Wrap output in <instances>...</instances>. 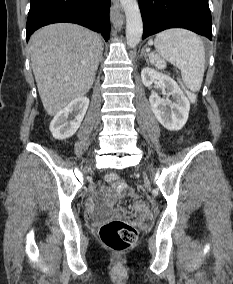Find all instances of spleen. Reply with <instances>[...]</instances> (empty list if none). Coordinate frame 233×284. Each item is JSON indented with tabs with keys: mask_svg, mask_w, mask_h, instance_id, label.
<instances>
[{
	"mask_svg": "<svg viewBox=\"0 0 233 284\" xmlns=\"http://www.w3.org/2000/svg\"><path fill=\"white\" fill-rule=\"evenodd\" d=\"M154 46L159 56L181 71L185 86L198 92L205 71V49L201 38L185 29H168L156 35ZM158 55L151 53L150 61L154 63Z\"/></svg>",
	"mask_w": 233,
	"mask_h": 284,
	"instance_id": "1",
	"label": "spleen"
}]
</instances>
